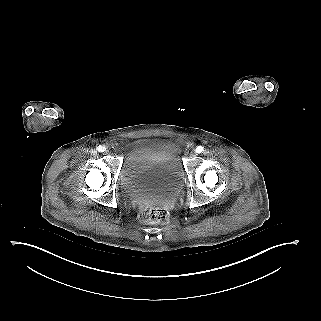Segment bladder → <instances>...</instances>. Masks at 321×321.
Here are the masks:
<instances>
[{"instance_id": "obj_1", "label": "bladder", "mask_w": 321, "mask_h": 321, "mask_svg": "<svg viewBox=\"0 0 321 321\" xmlns=\"http://www.w3.org/2000/svg\"><path fill=\"white\" fill-rule=\"evenodd\" d=\"M184 170L177 146L162 138L131 141L123 155L119 183L137 203L174 197L182 188Z\"/></svg>"}]
</instances>
